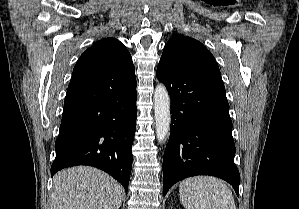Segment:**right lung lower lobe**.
Here are the masks:
<instances>
[{"instance_id": "98d812e1", "label": "right lung lower lobe", "mask_w": 299, "mask_h": 209, "mask_svg": "<svg viewBox=\"0 0 299 209\" xmlns=\"http://www.w3.org/2000/svg\"><path fill=\"white\" fill-rule=\"evenodd\" d=\"M136 77L113 72L73 76L64 101L51 175L76 165L97 167L127 192L136 128Z\"/></svg>"}]
</instances>
